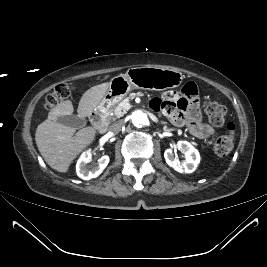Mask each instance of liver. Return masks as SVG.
Returning <instances> with one entry per match:
<instances>
[{
  "label": "liver",
  "mask_w": 267,
  "mask_h": 267,
  "mask_svg": "<svg viewBox=\"0 0 267 267\" xmlns=\"http://www.w3.org/2000/svg\"><path fill=\"white\" fill-rule=\"evenodd\" d=\"M109 83H102L88 89L81 97L77 112L80 117L89 116L105 95ZM71 100H66L48 114L47 120L38 125L35 140L45 162L58 172L66 173L72 161L86 149L96 136L94 127H86L78 132L75 128L57 121L61 116L72 115Z\"/></svg>",
  "instance_id": "liver-1"
}]
</instances>
